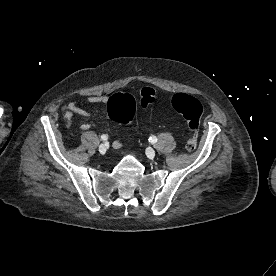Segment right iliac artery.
I'll list each match as a JSON object with an SVG mask.
<instances>
[{"label":"right iliac artery","mask_w":276,"mask_h":276,"mask_svg":"<svg viewBox=\"0 0 276 276\" xmlns=\"http://www.w3.org/2000/svg\"><path fill=\"white\" fill-rule=\"evenodd\" d=\"M101 139H102L103 141H106V140L108 139V136L103 134V135L101 136Z\"/></svg>","instance_id":"82829eb1"}]
</instances>
